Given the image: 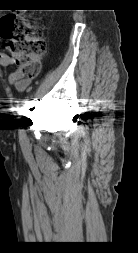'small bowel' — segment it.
<instances>
[{"label": "small bowel", "instance_id": "obj_1", "mask_svg": "<svg viewBox=\"0 0 138 253\" xmlns=\"http://www.w3.org/2000/svg\"><path fill=\"white\" fill-rule=\"evenodd\" d=\"M0 65L5 67L15 65V61L6 53L0 52ZM8 82L18 91H24L30 85L31 79L26 77L18 66H15L8 76Z\"/></svg>", "mask_w": 138, "mask_h": 253}]
</instances>
